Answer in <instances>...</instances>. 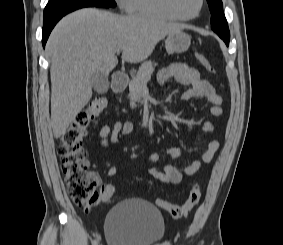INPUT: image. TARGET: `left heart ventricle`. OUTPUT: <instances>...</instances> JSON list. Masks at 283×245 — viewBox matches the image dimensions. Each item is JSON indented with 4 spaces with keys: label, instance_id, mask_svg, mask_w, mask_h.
<instances>
[{
    "label": "left heart ventricle",
    "instance_id": "left-heart-ventricle-1",
    "mask_svg": "<svg viewBox=\"0 0 283 245\" xmlns=\"http://www.w3.org/2000/svg\"><path fill=\"white\" fill-rule=\"evenodd\" d=\"M174 7L178 14L182 16L193 15L199 6V0H173Z\"/></svg>",
    "mask_w": 283,
    "mask_h": 245
}]
</instances>
